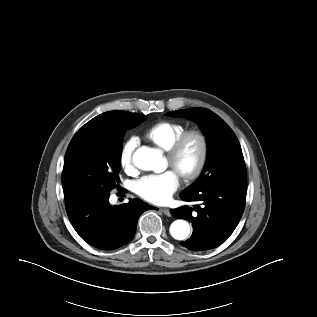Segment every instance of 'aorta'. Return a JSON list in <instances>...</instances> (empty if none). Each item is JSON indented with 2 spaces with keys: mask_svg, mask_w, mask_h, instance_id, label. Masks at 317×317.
Masks as SVG:
<instances>
[{
  "mask_svg": "<svg viewBox=\"0 0 317 317\" xmlns=\"http://www.w3.org/2000/svg\"><path fill=\"white\" fill-rule=\"evenodd\" d=\"M133 162L144 171L162 172L166 169V159L158 148L139 147L133 154ZM169 231L174 239L185 240L190 234V225L187 221L178 219L171 223Z\"/></svg>",
  "mask_w": 317,
  "mask_h": 317,
  "instance_id": "aorta-1",
  "label": "aorta"
}]
</instances>
